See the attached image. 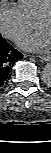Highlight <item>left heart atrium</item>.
Listing matches in <instances>:
<instances>
[{"label": "left heart atrium", "mask_w": 51, "mask_h": 153, "mask_svg": "<svg viewBox=\"0 0 51 153\" xmlns=\"http://www.w3.org/2000/svg\"><path fill=\"white\" fill-rule=\"evenodd\" d=\"M50 34L45 30L39 29L35 33L24 37L20 45L30 51H43L50 45Z\"/></svg>", "instance_id": "left-heart-atrium-1"}]
</instances>
